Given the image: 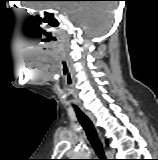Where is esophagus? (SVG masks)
Wrapping results in <instances>:
<instances>
[{"mask_svg":"<svg viewBox=\"0 0 158 160\" xmlns=\"http://www.w3.org/2000/svg\"><path fill=\"white\" fill-rule=\"evenodd\" d=\"M86 113L89 116V118L92 120V122L96 125V120H95L94 116L92 115V113H90L88 111Z\"/></svg>","mask_w":158,"mask_h":160,"instance_id":"34e87169","label":"esophagus"}]
</instances>
